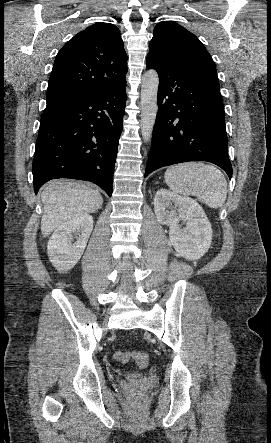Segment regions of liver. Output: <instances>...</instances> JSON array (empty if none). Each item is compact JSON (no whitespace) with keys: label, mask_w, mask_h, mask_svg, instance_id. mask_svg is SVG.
Segmentation results:
<instances>
[{"label":"liver","mask_w":271,"mask_h":443,"mask_svg":"<svg viewBox=\"0 0 271 443\" xmlns=\"http://www.w3.org/2000/svg\"><path fill=\"white\" fill-rule=\"evenodd\" d=\"M44 206L41 218V233L48 237L61 223L73 220L82 214H92L99 210L103 198L98 190L87 188L75 180H52L41 194Z\"/></svg>","instance_id":"obj_1"}]
</instances>
